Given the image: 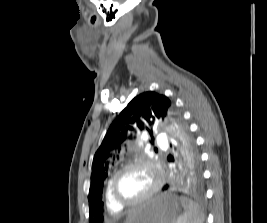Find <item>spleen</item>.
<instances>
[{
	"mask_svg": "<svg viewBox=\"0 0 267 223\" xmlns=\"http://www.w3.org/2000/svg\"><path fill=\"white\" fill-rule=\"evenodd\" d=\"M180 202L185 212L176 223H204V212L196 202L186 197H180Z\"/></svg>",
	"mask_w": 267,
	"mask_h": 223,
	"instance_id": "1",
	"label": "spleen"
}]
</instances>
